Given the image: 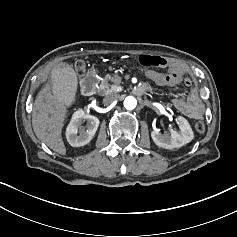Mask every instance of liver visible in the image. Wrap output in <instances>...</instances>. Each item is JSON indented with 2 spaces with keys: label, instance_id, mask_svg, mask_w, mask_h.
<instances>
[{
  "label": "liver",
  "instance_id": "liver-1",
  "mask_svg": "<svg viewBox=\"0 0 237 237\" xmlns=\"http://www.w3.org/2000/svg\"><path fill=\"white\" fill-rule=\"evenodd\" d=\"M32 127L35 136L47 147L60 155H66L62 139L65 121L70 115L65 105L60 104L50 92L39 93L34 102Z\"/></svg>",
  "mask_w": 237,
  "mask_h": 237
}]
</instances>
